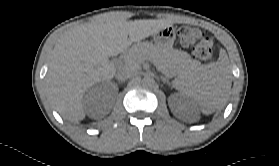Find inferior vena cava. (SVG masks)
<instances>
[{"mask_svg":"<svg viewBox=\"0 0 279 166\" xmlns=\"http://www.w3.org/2000/svg\"><path fill=\"white\" fill-rule=\"evenodd\" d=\"M136 74V71L134 69H130L128 67H124L122 69H120L116 75V78L119 81H125L128 78L133 77Z\"/></svg>","mask_w":279,"mask_h":166,"instance_id":"602c4592","label":"inferior vena cava"}]
</instances>
